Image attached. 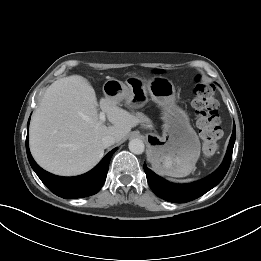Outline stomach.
<instances>
[{
  "label": "stomach",
  "instance_id": "stomach-1",
  "mask_svg": "<svg viewBox=\"0 0 261 261\" xmlns=\"http://www.w3.org/2000/svg\"><path fill=\"white\" fill-rule=\"evenodd\" d=\"M106 98L116 104L125 100L130 108H141L148 95L162 110L163 134H148V156L152 167L172 177H185L195 170L200 156V141L188 114L176 104L175 87L168 78L148 80L132 77L126 85L117 79L104 83Z\"/></svg>",
  "mask_w": 261,
  "mask_h": 261
}]
</instances>
